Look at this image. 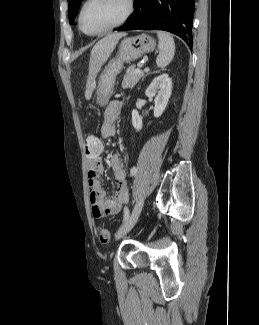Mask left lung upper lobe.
<instances>
[{
	"label": "left lung upper lobe",
	"instance_id": "obj_1",
	"mask_svg": "<svg viewBox=\"0 0 259 325\" xmlns=\"http://www.w3.org/2000/svg\"><path fill=\"white\" fill-rule=\"evenodd\" d=\"M83 0H68L69 3V22L73 23L75 16L78 12L80 4Z\"/></svg>",
	"mask_w": 259,
	"mask_h": 325
}]
</instances>
